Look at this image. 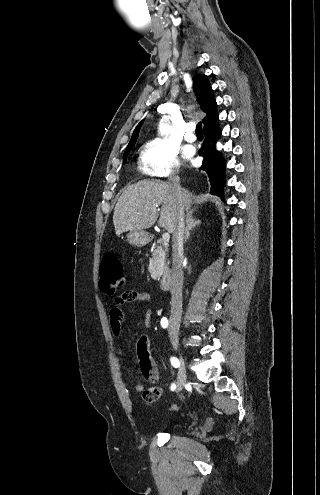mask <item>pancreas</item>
<instances>
[{"label":"pancreas","mask_w":320,"mask_h":495,"mask_svg":"<svg viewBox=\"0 0 320 495\" xmlns=\"http://www.w3.org/2000/svg\"><path fill=\"white\" fill-rule=\"evenodd\" d=\"M160 246L155 247V244L152 248V258H150L148 271L153 280H159L162 274L168 270V261L166 259L167 255V246L161 245L162 240L157 241Z\"/></svg>","instance_id":"1"}]
</instances>
